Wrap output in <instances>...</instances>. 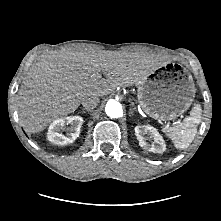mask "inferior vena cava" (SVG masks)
<instances>
[{
  "label": "inferior vena cava",
  "mask_w": 221,
  "mask_h": 221,
  "mask_svg": "<svg viewBox=\"0 0 221 221\" xmlns=\"http://www.w3.org/2000/svg\"><path fill=\"white\" fill-rule=\"evenodd\" d=\"M99 101L98 95H91L82 100V105L85 109L92 110L98 105Z\"/></svg>",
  "instance_id": "602c4592"
}]
</instances>
